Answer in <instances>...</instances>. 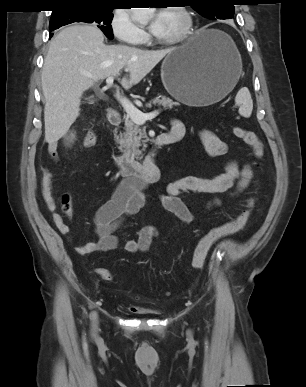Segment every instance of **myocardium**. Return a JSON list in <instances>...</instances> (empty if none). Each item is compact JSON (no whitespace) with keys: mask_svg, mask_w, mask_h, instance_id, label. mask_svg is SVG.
<instances>
[{"mask_svg":"<svg viewBox=\"0 0 306 387\" xmlns=\"http://www.w3.org/2000/svg\"><path fill=\"white\" fill-rule=\"evenodd\" d=\"M164 10H173L178 12L183 19V26L180 32L173 37L167 39H159L155 37L154 40L158 44L162 45H174L185 41L191 34L194 24L193 15L190 10L185 6H170L168 8H165Z\"/></svg>","mask_w":306,"mask_h":387,"instance_id":"1","label":"myocardium"}]
</instances>
